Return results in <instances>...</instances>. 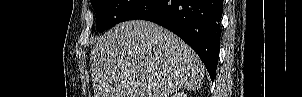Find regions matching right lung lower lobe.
Masks as SVG:
<instances>
[{
	"label": "right lung lower lobe",
	"instance_id": "1",
	"mask_svg": "<svg viewBox=\"0 0 302 97\" xmlns=\"http://www.w3.org/2000/svg\"><path fill=\"white\" fill-rule=\"evenodd\" d=\"M222 0H141L123 21L155 22L182 38L199 55L214 80L220 47Z\"/></svg>",
	"mask_w": 302,
	"mask_h": 97
}]
</instances>
